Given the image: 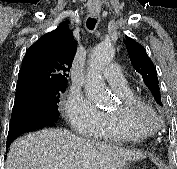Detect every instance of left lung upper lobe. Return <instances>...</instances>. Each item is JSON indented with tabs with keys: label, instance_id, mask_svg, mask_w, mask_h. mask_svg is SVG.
Returning a JSON list of instances; mask_svg holds the SVG:
<instances>
[{
	"label": "left lung upper lobe",
	"instance_id": "left-lung-upper-lobe-1",
	"mask_svg": "<svg viewBox=\"0 0 177 169\" xmlns=\"http://www.w3.org/2000/svg\"><path fill=\"white\" fill-rule=\"evenodd\" d=\"M123 40L134 69L140 73L146 86L152 91L155 100L162 106L158 77L155 67L149 60L145 48L135 40L125 36Z\"/></svg>",
	"mask_w": 177,
	"mask_h": 169
}]
</instances>
